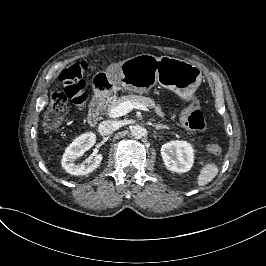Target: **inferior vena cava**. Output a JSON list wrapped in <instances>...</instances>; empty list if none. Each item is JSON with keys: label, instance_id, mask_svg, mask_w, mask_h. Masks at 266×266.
Masks as SVG:
<instances>
[{"label": "inferior vena cava", "instance_id": "inferior-vena-cava-1", "mask_svg": "<svg viewBox=\"0 0 266 266\" xmlns=\"http://www.w3.org/2000/svg\"><path fill=\"white\" fill-rule=\"evenodd\" d=\"M100 135H110L116 131V125L112 121H102L97 128Z\"/></svg>", "mask_w": 266, "mask_h": 266}]
</instances>
